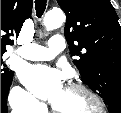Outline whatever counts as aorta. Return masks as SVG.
I'll list each match as a JSON object with an SVG mask.
<instances>
[{"mask_svg":"<svg viewBox=\"0 0 121 113\" xmlns=\"http://www.w3.org/2000/svg\"><path fill=\"white\" fill-rule=\"evenodd\" d=\"M65 19L64 13L59 10H50L45 14L43 23L47 30H53L59 28Z\"/></svg>","mask_w":121,"mask_h":113,"instance_id":"1","label":"aorta"}]
</instances>
